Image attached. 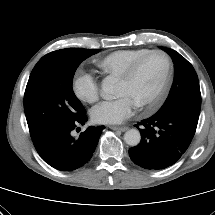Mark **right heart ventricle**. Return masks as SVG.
I'll list each match as a JSON object with an SVG mask.
<instances>
[{"mask_svg":"<svg viewBox=\"0 0 215 215\" xmlns=\"http://www.w3.org/2000/svg\"><path fill=\"white\" fill-rule=\"evenodd\" d=\"M148 49H123L111 52L96 61L103 73L119 77L125 69Z\"/></svg>","mask_w":215,"mask_h":215,"instance_id":"right-heart-ventricle-1","label":"right heart ventricle"}]
</instances>
